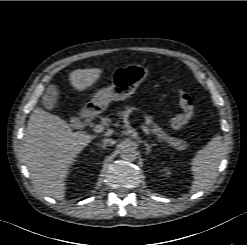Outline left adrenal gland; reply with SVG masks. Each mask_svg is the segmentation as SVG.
Segmentation results:
<instances>
[{"instance_id":"obj_1","label":"left adrenal gland","mask_w":247,"mask_h":245,"mask_svg":"<svg viewBox=\"0 0 247 245\" xmlns=\"http://www.w3.org/2000/svg\"><path fill=\"white\" fill-rule=\"evenodd\" d=\"M144 145H145V147H146V154L148 155V154H150V152H151V148L153 147V146H155V144H148L146 141L144 142Z\"/></svg>"}]
</instances>
